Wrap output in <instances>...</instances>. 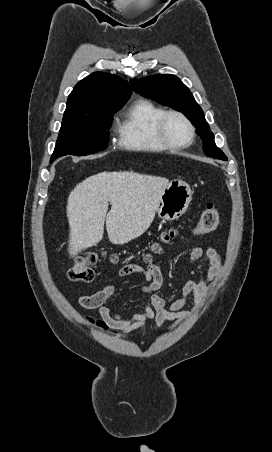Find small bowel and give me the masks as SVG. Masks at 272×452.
Listing matches in <instances>:
<instances>
[{
  "mask_svg": "<svg viewBox=\"0 0 272 452\" xmlns=\"http://www.w3.org/2000/svg\"><path fill=\"white\" fill-rule=\"evenodd\" d=\"M203 257L209 262L204 275L199 280H187L183 285L181 296L173 302H167L157 293L163 284L164 277L155 262L146 261L144 265L134 263L123 265L119 270L120 277L137 274L146 280V284L139 289V292L147 297L144 311L135 313L129 318L113 314L111 307L114 304L113 296L116 289L113 285H108L93 294L80 297L79 302L84 309L97 310L99 314L97 319L87 316L86 320L102 331L111 330L121 335L143 328L150 320H154V326L157 328L170 320L172 323L168 330H174L188 316V311L185 310L188 301L192 299L194 305H198L201 298L210 292L209 283L218 279L222 273L221 254L212 246L203 249L199 245H194L188 262L193 265Z\"/></svg>",
  "mask_w": 272,
  "mask_h": 452,
  "instance_id": "c3829d8e",
  "label": "small bowel"
}]
</instances>
